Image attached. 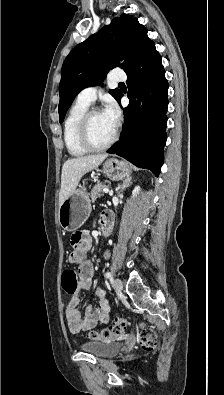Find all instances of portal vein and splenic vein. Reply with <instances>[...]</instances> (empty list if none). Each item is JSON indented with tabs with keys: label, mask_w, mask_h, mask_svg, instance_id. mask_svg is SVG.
Listing matches in <instances>:
<instances>
[{
	"label": "portal vein and splenic vein",
	"mask_w": 224,
	"mask_h": 395,
	"mask_svg": "<svg viewBox=\"0 0 224 395\" xmlns=\"http://www.w3.org/2000/svg\"><path fill=\"white\" fill-rule=\"evenodd\" d=\"M103 192H104V193H109V189H108V188H105V189L103 190Z\"/></svg>",
	"instance_id": "portal-vein-and-splenic-vein-1"
}]
</instances>
